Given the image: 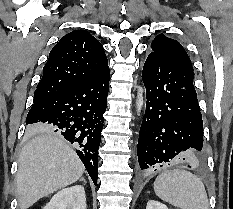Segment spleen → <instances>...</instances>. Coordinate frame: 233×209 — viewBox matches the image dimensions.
Wrapping results in <instances>:
<instances>
[{
	"mask_svg": "<svg viewBox=\"0 0 233 209\" xmlns=\"http://www.w3.org/2000/svg\"><path fill=\"white\" fill-rule=\"evenodd\" d=\"M154 191L163 201L180 209H209L203 182L185 170H167L157 176Z\"/></svg>",
	"mask_w": 233,
	"mask_h": 209,
	"instance_id": "3e777b00",
	"label": "spleen"
}]
</instances>
